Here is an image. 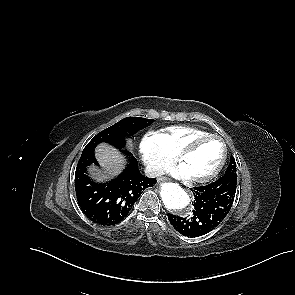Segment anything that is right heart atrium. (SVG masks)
Returning <instances> with one entry per match:
<instances>
[{
    "mask_svg": "<svg viewBox=\"0 0 295 295\" xmlns=\"http://www.w3.org/2000/svg\"><path fill=\"white\" fill-rule=\"evenodd\" d=\"M139 152L148 172L153 176H159L175 160V155L164 147L156 132H149L142 138Z\"/></svg>",
    "mask_w": 295,
    "mask_h": 295,
    "instance_id": "right-heart-atrium-1",
    "label": "right heart atrium"
}]
</instances>
